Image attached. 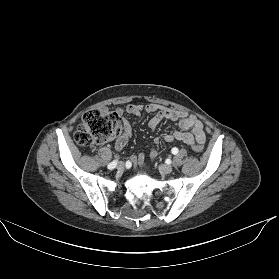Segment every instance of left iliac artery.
<instances>
[{"label": "left iliac artery", "instance_id": "left-iliac-artery-1", "mask_svg": "<svg viewBox=\"0 0 279 279\" xmlns=\"http://www.w3.org/2000/svg\"><path fill=\"white\" fill-rule=\"evenodd\" d=\"M172 154H177L178 153V149L176 147L172 148L171 150Z\"/></svg>", "mask_w": 279, "mask_h": 279}]
</instances>
